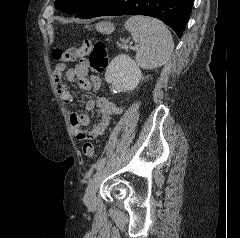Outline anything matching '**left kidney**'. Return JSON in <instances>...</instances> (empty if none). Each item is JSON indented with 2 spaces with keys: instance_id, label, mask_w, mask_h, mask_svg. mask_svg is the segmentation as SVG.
Instances as JSON below:
<instances>
[{
  "instance_id": "5707ae66",
  "label": "left kidney",
  "mask_w": 240,
  "mask_h": 238,
  "mask_svg": "<svg viewBox=\"0 0 240 238\" xmlns=\"http://www.w3.org/2000/svg\"><path fill=\"white\" fill-rule=\"evenodd\" d=\"M140 79L141 70L138 64L125 54L116 56L107 66L105 73L106 82L118 92L134 90Z\"/></svg>"
}]
</instances>
